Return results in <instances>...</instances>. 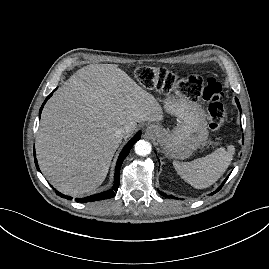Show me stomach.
Wrapping results in <instances>:
<instances>
[{
	"mask_svg": "<svg viewBox=\"0 0 269 269\" xmlns=\"http://www.w3.org/2000/svg\"><path fill=\"white\" fill-rule=\"evenodd\" d=\"M164 108L177 118V126L172 131L159 125L150 129L167 157L186 159L208 140L205 112L196 102L175 97L167 98Z\"/></svg>",
	"mask_w": 269,
	"mask_h": 269,
	"instance_id": "stomach-1",
	"label": "stomach"
}]
</instances>
